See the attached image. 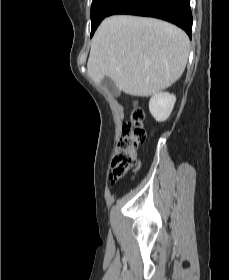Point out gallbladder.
Returning a JSON list of instances; mask_svg holds the SVG:
<instances>
[{
  "label": "gallbladder",
  "mask_w": 229,
  "mask_h": 280,
  "mask_svg": "<svg viewBox=\"0 0 229 280\" xmlns=\"http://www.w3.org/2000/svg\"><path fill=\"white\" fill-rule=\"evenodd\" d=\"M101 86L106 88L113 97L120 95V90L116 87L115 83L107 76L101 81Z\"/></svg>",
  "instance_id": "1"
}]
</instances>
